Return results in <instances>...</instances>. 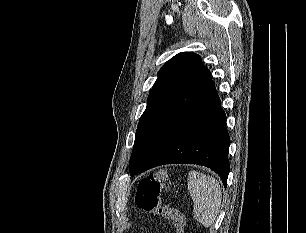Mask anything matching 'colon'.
Returning <instances> with one entry per match:
<instances>
[{
    "instance_id": "colon-1",
    "label": "colon",
    "mask_w": 306,
    "mask_h": 233,
    "mask_svg": "<svg viewBox=\"0 0 306 233\" xmlns=\"http://www.w3.org/2000/svg\"><path fill=\"white\" fill-rule=\"evenodd\" d=\"M167 172L159 169L143 178L137 185L136 205L148 212L172 221L175 233H186V218L176 208L162 200V190L167 185Z\"/></svg>"
}]
</instances>
